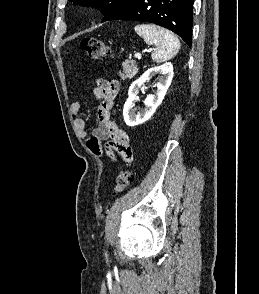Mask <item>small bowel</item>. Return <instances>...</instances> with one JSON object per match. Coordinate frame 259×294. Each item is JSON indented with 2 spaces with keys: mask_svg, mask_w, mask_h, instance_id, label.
Instances as JSON below:
<instances>
[{
  "mask_svg": "<svg viewBox=\"0 0 259 294\" xmlns=\"http://www.w3.org/2000/svg\"><path fill=\"white\" fill-rule=\"evenodd\" d=\"M119 88L118 81L98 80L92 91L94 98L99 100L96 128L89 131L86 122L81 118L73 121V127L75 132L85 140L93 154L101 156L103 154L101 142L107 140L106 150L112 159H115V154H118L125 162H131L132 149L129 144V136L110 117ZM80 111L81 105L78 102L71 104V115L77 116Z\"/></svg>",
  "mask_w": 259,
  "mask_h": 294,
  "instance_id": "obj_1",
  "label": "small bowel"
}]
</instances>
